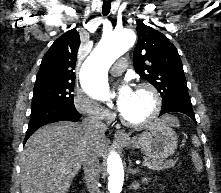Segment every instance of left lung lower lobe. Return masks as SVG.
Instances as JSON below:
<instances>
[{
  "mask_svg": "<svg viewBox=\"0 0 221 193\" xmlns=\"http://www.w3.org/2000/svg\"><path fill=\"white\" fill-rule=\"evenodd\" d=\"M169 112H181L188 115L196 123L195 114L193 113L192 104L190 98L177 99L168 102L166 105L162 106L160 115Z\"/></svg>",
  "mask_w": 221,
  "mask_h": 193,
  "instance_id": "obj_1",
  "label": "left lung lower lobe"
}]
</instances>
